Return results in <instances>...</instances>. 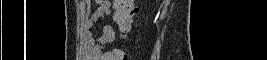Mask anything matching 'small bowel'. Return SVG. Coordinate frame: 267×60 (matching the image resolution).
Returning <instances> with one entry per match:
<instances>
[{"mask_svg": "<svg viewBox=\"0 0 267 60\" xmlns=\"http://www.w3.org/2000/svg\"><path fill=\"white\" fill-rule=\"evenodd\" d=\"M112 8L113 5L110 2L101 3L99 7L94 11L93 16L87 19L85 22L84 31L82 33V40L85 43L86 49L96 56L101 55L105 44L113 41L114 29L111 25H105L103 28L102 36L99 38L98 43H94L91 29L94 26L96 20L109 13Z\"/></svg>", "mask_w": 267, "mask_h": 60, "instance_id": "small-bowel-1", "label": "small bowel"}]
</instances>
